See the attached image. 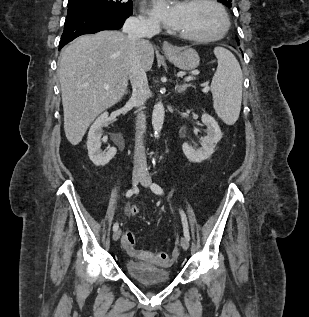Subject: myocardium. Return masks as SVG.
<instances>
[{"label": "myocardium", "instance_id": "1", "mask_svg": "<svg viewBox=\"0 0 309 317\" xmlns=\"http://www.w3.org/2000/svg\"><path fill=\"white\" fill-rule=\"evenodd\" d=\"M189 3H208L212 6H214L217 11L219 12L221 18H222V26L218 33L211 36H196V35H189L178 32V36L181 37L184 40H188L191 42H197V43H210L215 42L218 40L223 39L226 34L228 33L230 29V19L229 16L223 7L221 3H219L217 0H188Z\"/></svg>", "mask_w": 309, "mask_h": 317}]
</instances>
